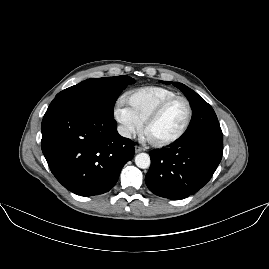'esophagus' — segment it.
<instances>
[{
  "mask_svg": "<svg viewBox=\"0 0 269 269\" xmlns=\"http://www.w3.org/2000/svg\"><path fill=\"white\" fill-rule=\"evenodd\" d=\"M142 151H145L144 148L140 147V146H135V152L138 153V152H142Z\"/></svg>",
  "mask_w": 269,
  "mask_h": 269,
  "instance_id": "34e87169",
  "label": "esophagus"
}]
</instances>
